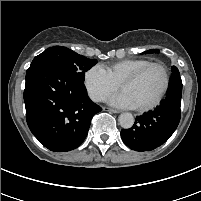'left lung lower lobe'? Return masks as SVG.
Listing matches in <instances>:
<instances>
[{
  "label": "left lung lower lobe",
  "mask_w": 201,
  "mask_h": 201,
  "mask_svg": "<svg viewBox=\"0 0 201 201\" xmlns=\"http://www.w3.org/2000/svg\"><path fill=\"white\" fill-rule=\"evenodd\" d=\"M181 96L180 74L172 75L166 98L153 111L137 116L131 128L121 130L123 142L139 152L151 151L165 143L179 124Z\"/></svg>",
  "instance_id": "left-lung-lower-lobe-1"
}]
</instances>
